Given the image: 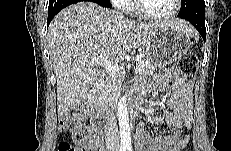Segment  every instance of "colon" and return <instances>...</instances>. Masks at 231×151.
<instances>
[{"label": "colon", "instance_id": "obj_1", "mask_svg": "<svg viewBox=\"0 0 231 151\" xmlns=\"http://www.w3.org/2000/svg\"><path fill=\"white\" fill-rule=\"evenodd\" d=\"M198 68L197 58L194 55H186L178 62V71L187 84H191ZM59 129L62 132L71 131L75 144L62 141L58 145V151H85L82 146L86 139L85 129L82 123L81 112L72 108L61 114Z\"/></svg>", "mask_w": 231, "mask_h": 151}]
</instances>
